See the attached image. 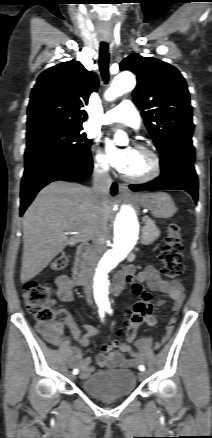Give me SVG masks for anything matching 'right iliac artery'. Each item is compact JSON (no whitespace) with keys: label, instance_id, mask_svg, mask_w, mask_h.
I'll use <instances>...</instances> for the list:
<instances>
[{"label":"right iliac artery","instance_id":"82829eb1","mask_svg":"<svg viewBox=\"0 0 212 438\" xmlns=\"http://www.w3.org/2000/svg\"><path fill=\"white\" fill-rule=\"evenodd\" d=\"M105 311H106L105 309H99V314H100L101 319L104 318V312H105ZM78 373H79V370H78V369H74V370H73V374H74V375H76V374H78Z\"/></svg>","mask_w":212,"mask_h":438}]
</instances>
